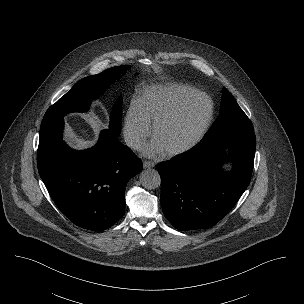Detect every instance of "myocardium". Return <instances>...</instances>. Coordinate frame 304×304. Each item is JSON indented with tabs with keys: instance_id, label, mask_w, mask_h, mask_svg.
<instances>
[{
	"instance_id": "1",
	"label": "myocardium",
	"mask_w": 304,
	"mask_h": 304,
	"mask_svg": "<svg viewBox=\"0 0 304 304\" xmlns=\"http://www.w3.org/2000/svg\"><path fill=\"white\" fill-rule=\"evenodd\" d=\"M195 100L206 101V103L208 105L206 116H205L199 130L194 135V137L182 146L167 150L166 154L168 156L173 157V156L182 155V154L192 150L204 138L205 134L207 133V131L211 125L213 115H214V104H213L212 99L207 94L196 91V92L186 96L181 101H179L173 108H171L166 113L161 115L158 119H156L152 125V134H153V137H155L158 129L164 123H166L167 121H169L172 118H174L175 116H177L189 103H191L192 101H195Z\"/></svg>"
}]
</instances>
